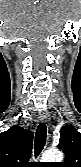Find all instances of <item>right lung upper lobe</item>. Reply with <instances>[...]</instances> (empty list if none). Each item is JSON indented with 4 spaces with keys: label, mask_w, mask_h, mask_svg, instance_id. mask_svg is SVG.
Listing matches in <instances>:
<instances>
[{
    "label": "right lung upper lobe",
    "mask_w": 81,
    "mask_h": 167,
    "mask_svg": "<svg viewBox=\"0 0 81 167\" xmlns=\"http://www.w3.org/2000/svg\"><path fill=\"white\" fill-rule=\"evenodd\" d=\"M33 134L14 125L0 133V167H30Z\"/></svg>",
    "instance_id": "1"
}]
</instances>
